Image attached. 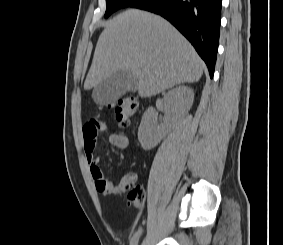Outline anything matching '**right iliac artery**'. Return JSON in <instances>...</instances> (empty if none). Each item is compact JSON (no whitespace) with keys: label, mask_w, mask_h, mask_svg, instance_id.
Masks as SVG:
<instances>
[{"label":"right iliac artery","mask_w":283,"mask_h":245,"mask_svg":"<svg viewBox=\"0 0 283 245\" xmlns=\"http://www.w3.org/2000/svg\"><path fill=\"white\" fill-rule=\"evenodd\" d=\"M141 233H142V230L140 229L134 234V236L132 237L130 241V245H137Z\"/></svg>","instance_id":"right-iliac-artery-1"}]
</instances>
